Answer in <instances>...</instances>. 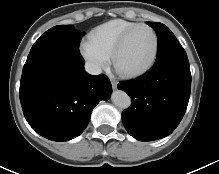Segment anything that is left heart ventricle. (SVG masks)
<instances>
[{
	"instance_id": "1",
	"label": "left heart ventricle",
	"mask_w": 219,
	"mask_h": 174,
	"mask_svg": "<svg viewBox=\"0 0 219 174\" xmlns=\"http://www.w3.org/2000/svg\"><path fill=\"white\" fill-rule=\"evenodd\" d=\"M154 51V38L150 30L140 28L129 38L117 64L123 71H134L144 67Z\"/></svg>"
}]
</instances>
